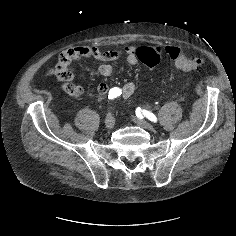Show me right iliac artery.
<instances>
[{
    "instance_id": "82829eb1",
    "label": "right iliac artery",
    "mask_w": 236,
    "mask_h": 236,
    "mask_svg": "<svg viewBox=\"0 0 236 236\" xmlns=\"http://www.w3.org/2000/svg\"><path fill=\"white\" fill-rule=\"evenodd\" d=\"M122 94V90L118 87H114L110 89L109 94H108V99H114L119 97Z\"/></svg>"
}]
</instances>
